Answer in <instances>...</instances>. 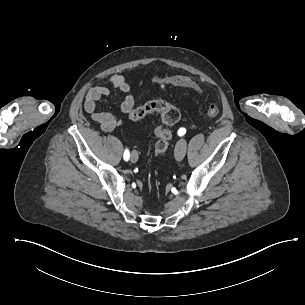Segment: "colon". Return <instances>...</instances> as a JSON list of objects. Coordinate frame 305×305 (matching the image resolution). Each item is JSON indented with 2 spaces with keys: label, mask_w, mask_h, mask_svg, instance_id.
<instances>
[{
  "label": "colon",
  "mask_w": 305,
  "mask_h": 305,
  "mask_svg": "<svg viewBox=\"0 0 305 305\" xmlns=\"http://www.w3.org/2000/svg\"><path fill=\"white\" fill-rule=\"evenodd\" d=\"M154 83L156 86L161 85L164 87H176L177 84L181 88L190 90L194 86L192 79L175 74L173 77H165L161 73H153L148 81ZM151 113H158L160 115L159 124L154 129V134L157 141L153 147L154 156L164 154L172 141V133L169 129L180 119V111L177 107L171 105L163 99L149 101L137 108H134L130 114L131 121H139ZM219 109L215 104L208 105V115L211 117L217 116Z\"/></svg>",
  "instance_id": "1"
}]
</instances>
